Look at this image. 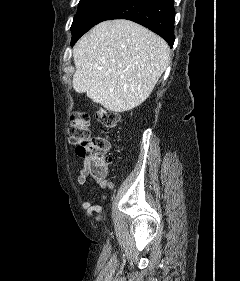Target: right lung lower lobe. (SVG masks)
<instances>
[{
	"label": "right lung lower lobe",
	"instance_id": "right-lung-lower-lobe-1",
	"mask_svg": "<svg viewBox=\"0 0 240 281\" xmlns=\"http://www.w3.org/2000/svg\"><path fill=\"white\" fill-rule=\"evenodd\" d=\"M174 15L173 0H118L96 24L112 19L131 20L160 35L172 47Z\"/></svg>",
	"mask_w": 240,
	"mask_h": 281
}]
</instances>
